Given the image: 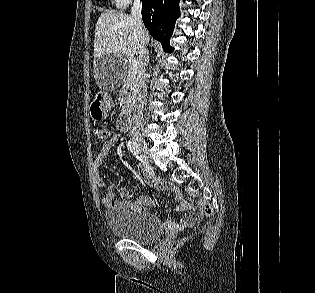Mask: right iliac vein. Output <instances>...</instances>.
<instances>
[{"instance_id": "obj_1", "label": "right iliac vein", "mask_w": 315, "mask_h": 293, "mask_svg": "<svg viewBox=\"0 0 315 293\" xmlns=\"http://www.w3.org/2000/svg\"><path fill=\"white\" fill-rule=\"evenodd\" d=\"M133 139L137 143V145L139 146L141 151L144 154H147L148 153V145H147L145 139L143 137H141V136H135Z\"/></svg>"}]
</instances>
